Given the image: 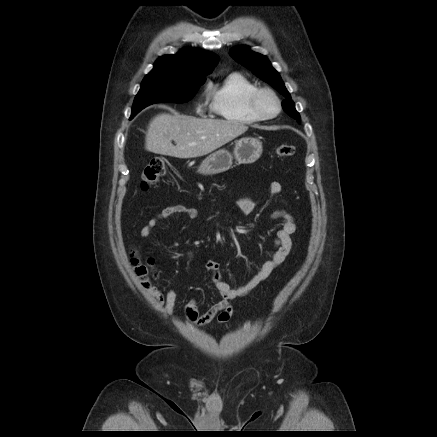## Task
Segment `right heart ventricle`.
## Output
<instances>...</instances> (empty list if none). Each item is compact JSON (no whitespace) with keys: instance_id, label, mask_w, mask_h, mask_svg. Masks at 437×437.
I'll return each instance as SVG.
<instances>
[{"instance_id":"right-heart-ventricle-1","label":"right heart ventricle","mask_w":437,"mask_h":437,"mask_svg":"<svg viewBox=\"0 0 437 437\" xmlns=\"http://www.w3.org/2000/svg\"><path fill=\"white\" fill-rule=\"evenodd\" d=\"M257 89V85L243 74L233 72L208 86L211 109L232 123L259 122L260 119L255 117L249 108V97Z\"/></svg>"}]
</instances>
